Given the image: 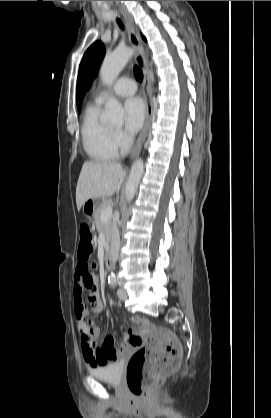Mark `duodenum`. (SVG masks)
Returning a JSON list of instances; mask_svg holds the SVG:
<instances>
[{
	"mask_svg": "<svg viewBox=\"0 0 271 418\" xmlns=\"http://www.w3.org/2000/svg\"><path fill=\"white\" fill-rule=\"evenodd\" d=\"M113 262V251L112 249H108L105 254L104 264L106 269H109L112 266Z\"/></svg>",
	"mask_w": 271,
	"mask_h": 418,
	"instance_id": "duodenum-1",
	"label": "duodenum"
}]
</instances>
